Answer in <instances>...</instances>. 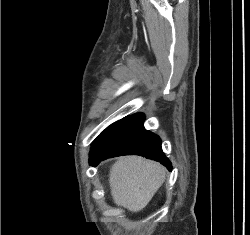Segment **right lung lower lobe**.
Listing matches in <instances>:
<instances>
[{
  "label": "right lung lower lobe",
  "mask_w": 250,
  "mask_h": 235,
  "mask_svg": "<svg viewBox=\"0 0 250 235\" xmlns=\"http://www.w3.org/2000/svg\"><path fill=\"white\" fill-rule=\"evenodd\" d=\"M143 121L144 115L137 113L106 128L92 143L90 164L95 166L106 158L134 154L158 161L171 171V162L161 149V139L145 130Z\"/></svg>",
  "instance_id": "98d812e1"
}]
</instances>
